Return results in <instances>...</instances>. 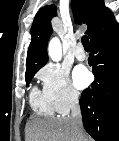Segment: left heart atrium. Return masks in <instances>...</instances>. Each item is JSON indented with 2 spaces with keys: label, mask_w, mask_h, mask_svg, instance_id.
I'll list each match as a JSON object with an SVG mask.
<instances>
[{
  "label": "left heart atrium",
  "mask_w": 119,
  "mask_h": 141,
  "mask_svg": "<svg viewBox=\"0 0 119 141\" xmlns=\"http://www.w3.org/2000/svg\"><path fill=\"white\" fill-rule=\"evenodd\" d=\"M73 79L78 88H84L90 83L91 75L85 66L78 65L73 71Z\"/></svg>",
  "instance_id": "left-heart-atrium-1"
}]
</instances>
